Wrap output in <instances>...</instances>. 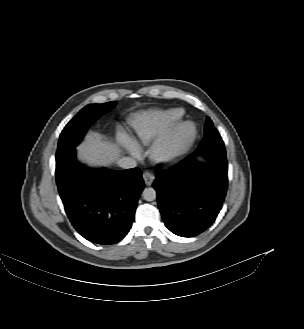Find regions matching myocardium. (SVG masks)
<instances>
[{"mask_svg":"<svg viewBox=\"0 0 304 329\" xmlns=\"http://www.w3.org/2000/svg\"><path fill=\"white\" fill-rule=\"evenodd\" d=\"M197 135L194 122L184 121L176 125L165 137L157 141L151 149V157L157 163H169L180 158Z\"/></svg>","mask_w":304,"mask_h":329,"instance_id":"obj_1","label":"myocardium"}]
</instances>
